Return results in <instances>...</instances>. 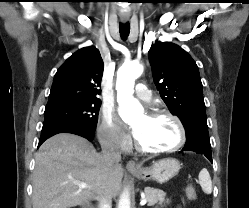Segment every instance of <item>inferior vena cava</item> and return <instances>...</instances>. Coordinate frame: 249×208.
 I'll use <instances>...</instances> for the list:
<instances>
[{
  "instance_id": "obj_1",
  "label": "inferior vena cava",
  "mask_w": 249,
  "mask_h": 208,
  "mask_svg": "<svg viewBox=\"0 0 249 208\" xmlns=\"http://www.w3.org/2000/svg\"><path fill=\"white\" fill-rule=\"evenodd\" d=\"M102 148V159L107 169L119 164L121 161V153L118 147L117 141L113 137H108L101 144ZM98 208H112L111 196L104 194L98 197Z\"/></svg>"
}]
</instances>
